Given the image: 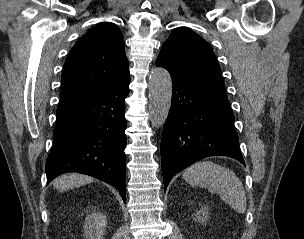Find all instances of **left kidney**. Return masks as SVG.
<instances>
[{
  "label": "left kidney",
  "mask_w": 304,
  "mask_h": 239,
  "mask_svg": "<svg viewBox=\"0 0 304 239\" xmlns=\"http://www.w3.org/2000/svg\"><path fill=\"white\" fill-rule=\"evenodd\" d=\"M208 217V209L206 207H202L196 214V219L200 223H206Z\"/></svg>",
  "instance_id": "left-kidney-1"
}]
</instances>
